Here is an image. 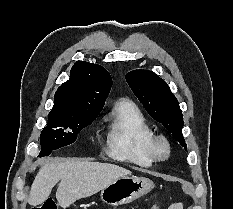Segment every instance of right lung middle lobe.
<instances>
[{"mask_svg":"<svg viewBox=\"0 0 233 209\" xmlns=\"http://www.w3.org/2000/svg\"><path fill=\"white\" fill-rule=\"evenodd\" d=\"M101 109L82 108L49 115L48 124L41 132L40 157L47 156L52 150L72 144L81 129L92 123Z\"/></svg>","mask_w":233,"mask_h":209,"instance_id":"right-lung-middle-lobe-1","label":"right lung middle lobe"}]
</instances>
